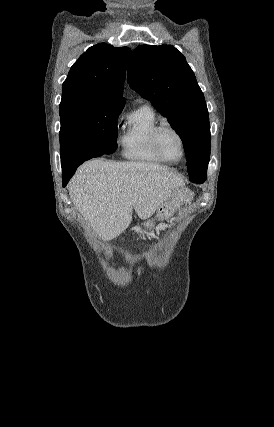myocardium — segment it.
Returning a JSON list of instances; mask_svg holds the SVG:
<instances>
[{"label":"myocardium","instance_id":"obj_1","mask_svg":"<svg viewBox=\"0 0 274 427\" xmlns=\"http://www.w3.org/2000/svg\"><path fill=\"white\" fill-rule=\"evenodd\" d=\"M166 130L172 131L180 139V142L182 145V156H181L179 161H172V160L168 159L161 149L160 135L162 132H164ZM152 146H153L154 150L156 151V153L160 156V158L164 162L169 163V164L181 163L185 159L186 154H187V146H186V141H185L184 136L182 135V133L177 128H175L174 126H172L170 124H160L155 128L153 135H152Z\"/></svg>","mask_w":274,"mask_h":427}]
</instances>
